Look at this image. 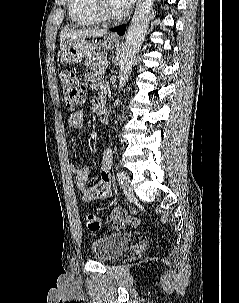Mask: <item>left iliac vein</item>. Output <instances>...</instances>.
<instances>
[{
    "label": "left iliac vein",
    "instance_id": "1",
    "mask_svg": "<svg viewBox=\"0 0 239 303\" xmlns=\"http://www.w3.org/2000/svg\"><path fill=\"white\" fill-rule=\"evenodd\" d=\"M124 194L126 195L127 198H133L134 197V192H133V186L131 184L130 178L125 175L123 179V185H122Z\"/></svg>",
    "mask_w": 239,
    "mask_h": 303
}]
</instances>
